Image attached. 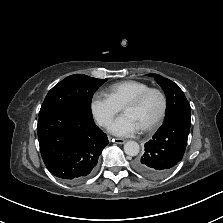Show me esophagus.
<instances>
[{
  "instance_id": "34e87169",
  "label": "esophagus",
  "mask_w": 223,
  "mask_h": 223,
  "mask_svg": "<svg viewBox=\"0 0 223 223\" xmlns=\"http://www.w3.org/2000/svg\"><path fill=\"white\" fill-rule=\"evenodd\" d=\"M112 142H116L117 144H124L126 142L125 139L122 138H109Z\"/></svg>"
}]
</instances>
